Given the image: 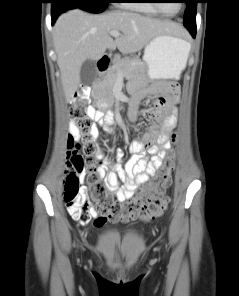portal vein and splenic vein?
I'll return each instance as SVG.
<instances>
[{
    "instance_id": "obj_1",
    "label": "portal vein and splenic vein",
    "mask_w": 239,
    "mask_h": 296,
    "mask_svg": "<svg viewBox=\"0 0 239 296\" xmlns=\"http://www.w3.org/2000/svg\"><path fill=\"white\" fill-rule=\"evenodd\" d=\"M110 35H111L112 37H118V36H120L121 34H120V32H118V31H111V32H110ZM119 74H121V72H119Z\"/></svg>"
}]
</instances>
